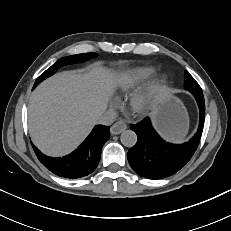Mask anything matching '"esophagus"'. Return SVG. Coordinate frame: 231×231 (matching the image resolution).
<instances>
[{
    "mask_svg": "<svg viewBox=\"0 0 231 231\" xmlns=\"http://www.w3.org/2000/svg\"><path fill=\"white\" fill-rule=\"evenodd\" d=\"M127 128V125L125 122L123 121H117L116 123H114L111 128H110V132L112 135H118L121 132H123L125 129Z\"/></svg>",
    "mask_w": 231,
    "mask_h": 231,
    "instance_id": "esophagus-1",
    "label": "esophagus"
}]
</instances>
